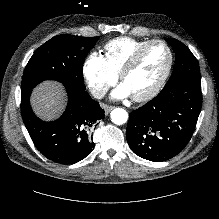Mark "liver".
I'll use <instances>...</instances> for the list:
<instances>
[{
  "label": "liver",
  "mask_w": 219,
  "mask_h": 219,
  "mask_svg": "<svg viewBox=\"0 0 219 219\" xmlns=\"http://www.w3.org/2000/svg\"><path fill=\"white\" fill-rule=\"evenodd\" d=\"M65 103L63 86L56 82L46 81L35 88L31 97L34 112L44 120L58 117Z\"/></svg>",
  "instance_id": "1"
}]
</instances>
